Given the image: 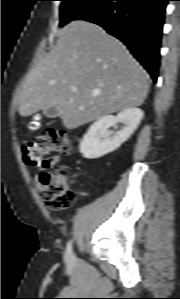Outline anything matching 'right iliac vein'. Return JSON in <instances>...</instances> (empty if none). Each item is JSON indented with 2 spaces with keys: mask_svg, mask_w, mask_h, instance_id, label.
<instances>
[{
  "mask_svg": "<svg viewBox=\"0 0 180 299\" xmlns=\"http://www.w3.org/2000/svg\"><path fill=\"white\" fill-rule=\"evenodd\" d=\"M73 260H74L73 255H70V256H69V261L71 262V261H73Z\"/></svg>",
  "mask_w": 180,
  "mask_h": 299,
  "instance_id": "right-iliac-vein-1",
  "label": "right iliac vein"
}]
</instances>
